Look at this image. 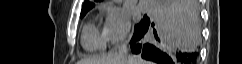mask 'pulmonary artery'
<instances>
[{
	"label": "pulmonary artery",
	"instance_id": "pulmonary-artery-1",
	"mask_svg": "<svg viewBox=\"0 0 242 64\" xmlns=\"http://www.w3.org/2000/svg\"><path fill=\"white\" fill-rule=\"evenodd\" d=\"M139 6L142 11H149L150 9L149 5L144 1L140 2Z\"/></svg>",
	"mask_w": 242,
	"mask_h": 64
}]
</instances>
